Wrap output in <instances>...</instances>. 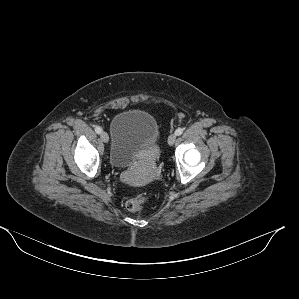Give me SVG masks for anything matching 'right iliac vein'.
<instances>
[{
	"label": "right iliac vein",
	"mask_w": 299,
	"mask_h": 299,
	"mask_svg": "<svg viewBox=\"0 0 299 299\" xmlns=\"http://www.w3.org/2000/svg\"><path fill=\"white\" fill-rule=\"evenodd\" d=\"M100 137L102 139L103 142L108 143L109 141V136L106 132H101Z\"/></svg>",
	"instance_id": "obj_1"
}]
</instances>
